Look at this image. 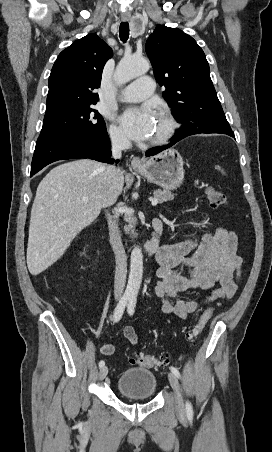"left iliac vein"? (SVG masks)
I'll use <instances>...</instances> for the list:
<instances>
[{
  "instance_id": "4c4485c4",
  "label": "left iliac vein",
  "mask_w": 272,
  "mask_h": 452,
  "mask_svg": "<svg viewBox=\"0 0 272 452\" xmlns=\"http://www.w3.org/2000/svg\"><path fill=\"white\" fill-rule=\"evenodd\" d=\"M168 380L174 391L176 409L179 413L182 414V413H184L185 408H184L183 398H182V395L180 392V385H179L178 379L172 372H170V373H168Z\"/></svg>"
}]
</instances>
